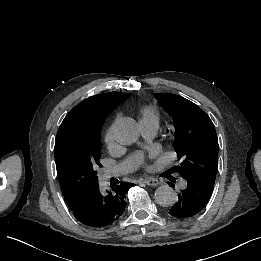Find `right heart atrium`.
Returning a JSON list of instances; mask_svg holds the SVG:
<instances>
[{
  "label": "right heart atrium",
  "instance_id": "d8ad5b80",
  "mask_svg": "<svg viewBox=\"0 0 261 261\" xmlns=\"http://www.w3.org/2000/svg\"><path fill=\"white\" fill-rule=\"evenodd\" d=\"M104 141L109 150L114 148L113 124L110 125L109 129L105 133Z\"/></svg>",
  "mask_w": 261,
  "mask_h": 261
}]
</instances>
